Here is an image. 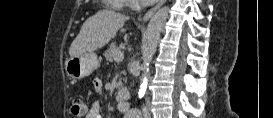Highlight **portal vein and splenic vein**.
<instances>
[{
  "label": "portal vein and splenic vein",
  "mask_w": 273,
  "mask_h": 118,
  "mask_svg": "<svg viewBox=\"0 0 273 118\" xmlns=\"http://www.w3.org/2000/svg\"><path fill=\"white\" fill-rule=\"evenodd\" d=\"M123 59H124V54L121 51L120 52H116L114 54V60L116 62H121V61H123Z\"/></svg>",
  "instance_id": "1"
}]
</instances>
